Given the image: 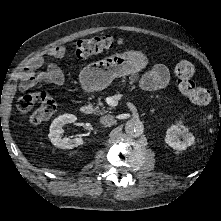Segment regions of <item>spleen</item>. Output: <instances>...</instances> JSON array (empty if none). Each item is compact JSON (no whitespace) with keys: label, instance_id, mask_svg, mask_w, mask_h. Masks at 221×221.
I'll list each match as a JSON object with an SVG mask.
<instances>
[{"label":"spleen","instance_id":"obj_1","mask_svg":"<svg viewBox=\"0 0 221 221\" xmlns=\"http://www.w3.org/2000/svg\"><path fill=\"white\" fill-rule=\"evenodd\" d=\"M208 118H209V119H211V118H212V116L210 115Z\"/></svg>","mask_w":221,"mask_h":221}]
</instances>
